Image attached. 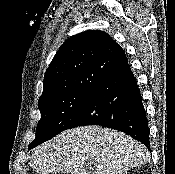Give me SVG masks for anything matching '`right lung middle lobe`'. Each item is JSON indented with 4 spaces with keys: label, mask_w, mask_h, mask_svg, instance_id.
Returning <instances> with one entry per match:
<instances>
[{
    "label": "right lung middle lobe",
    "mask_w": 175,
    "mask_h": 174,
    "mask_svg": "<svg viewBox=\"0 0 175 174\" xmlns=\"http://www.w3.org/2000/svg\"><path fill=\"white\" fill-rule=\"evenodd\" d=\"M93 87L67 91L39 101L41 119L36 128L35 140L30 143L28 149H32L66 130Z\"/></svg>",
    "instance_id": "dd1d6c3e"
}]
</instances>
